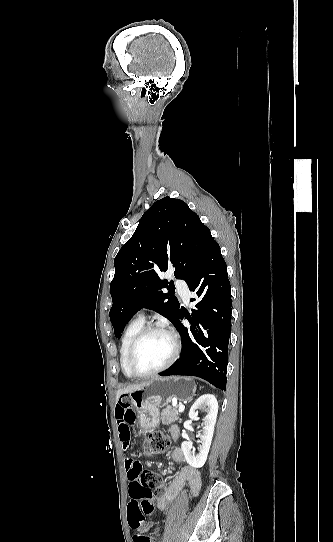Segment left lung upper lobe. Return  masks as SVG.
<instances>
[{
    "label": "left lung upper lobe",
    "instance_id": "5c2ea615",
    "mask_svg": "<svg viewBox=\"0 0 333 542\" xmlns=\"http://www.w3.org/2000/svg\"><path fill=\"white\" fill-rule=\"evenodd\" d=\"M211 238L209 228L182 200L164 197L143 214L114 260L109 316L117 338L131 317L144 307L160 313L175 326L180 304L171 293L174 285L162 281L158 274L173 266L175 277L186 281L201 263ZM162 288L169 292L163 293Z\"/></svg>",
    "mask_w": 333,
    "mask_h": 542
}]
</instances>
